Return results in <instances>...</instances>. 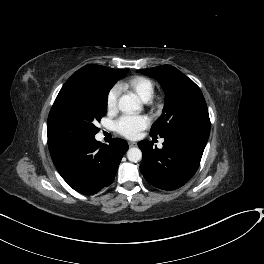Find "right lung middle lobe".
I'll return each instance as SVG.
<instances>
[{
	"label": "right lung middle lobe",
	"instance_id": "obj_1",
	"mask_svg": "<svg viewBox=\"0 0 264 264\" xmlns=\"http://www.w3.org/2000/svg\"><path fill=\"white\" fill-rule=\"evenodd\" d=\"M129 69L93 68L74 73L63 85L50 110L48 132L71 143L94 138L95 126L107 110V96Z\"/></svg>",
	"mask_w": 264,
	"mask_h": 264
}]
</instances>
